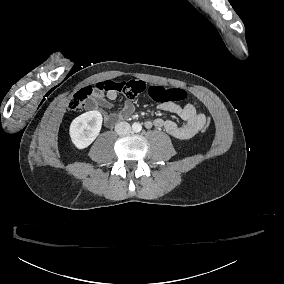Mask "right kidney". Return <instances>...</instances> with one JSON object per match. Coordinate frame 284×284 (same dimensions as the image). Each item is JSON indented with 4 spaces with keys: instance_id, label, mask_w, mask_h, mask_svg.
<instances>
[{
    "instance_id": "1",
    "label": "right kidney",
    "mask_w": 284,
    "mask_h": 284,
    "mask_svg": "<svg viewBox=\"0 0 284 284\" xmlns=\"http://www.w3.org/2000/svg\"><path fill=\"white\" fill-rule=\"evenodd\" d=\"M103 123L102 114L93 110L76 117L70 124L69 135L78 150L89 147L100 134Z\"/></svg>"
}]
</instances>
